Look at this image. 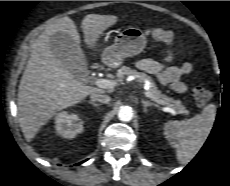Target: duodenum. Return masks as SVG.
Here are the masks:
<instances>
[{
    "label": "duodenum",
    "instance_id": "duodenum-1",
    "mask_svg": "<svg viewBox=\"0 0 230 186\" xmlns=\"http://www.w3.org/2000/svg\"><path fill=\"white\" fill-rule=\"evenodd\" d=\"M92 68H93V69H95V68H96V66H95V65H92Z\"/></svg>",
    "mask_w": 230,
    "mask_h": 186
}]
</instances>
